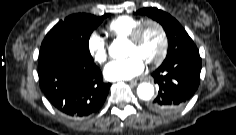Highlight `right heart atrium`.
<instances>
[{
  "mask_svg": "<svg viewBox=\"0 0 236 135\" xmlns=\"http://www.w3.org/2000/svg\"><path fill=\"white\" fill-rule=\"evenodd\" d=\"M87 48L92 59L102 64L108 56V43L106 39L99 33L93 32L88 37Z\"/></svg>",
  "mask_w": 236,
  "mask_h": 135,
  "instance_id": "obj_1",
  "label": "right heart atrium"
}]
</instances>
